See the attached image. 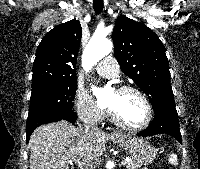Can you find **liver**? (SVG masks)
<instances>
[{
	"label": "liver",
	"mask_w": 200,
	"mask_h": 169,
	"mask_svg": "<svg viewBox=\"0 0 200 169\" xmlns=\"http://www.w3.org/2000/svg\"><path fill=\"white\" fill-rule=\"evenodd\" d=\"M108 139L101 130L76 128L66 121L42 125L29 141L30 169H69L71 160L80 159L90 163L102 155Z\"/></svg>",
	"instance_id": "6515ba94"
}]
</instances>
